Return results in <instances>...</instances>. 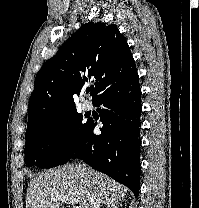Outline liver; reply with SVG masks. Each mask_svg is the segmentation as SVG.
Masks as SVG:
<instances>
[{
    "label": "liver",
    "mask_w": 199,
    "mask_h": 208,
    "mask_svg": "<svg viewBox=\"0 0 199 208\" xmlns=\"http://www.w3.org/2000/svg\"><path fill=\"white\" fill-rule=\"evenodd\" d=\"M92 192L107 205L119 202L127 191L123 185L90 167L67 164L43 171L30 181L26 208H63L58 200L62 197L74 198L80 208H89Z\"/></svg>",
    "instance_id": "1"
}]
</instances>
